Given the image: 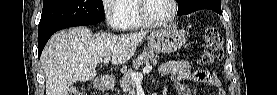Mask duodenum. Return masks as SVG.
<instances>
[{
    "mask_svg": "<svg viewBox=\"0 0 277 95\" xmlns=\"http://www.w3.org/2000/svg\"><path fill=\"white\" fill-rule=\"evenodd\" d=\"M107 85H108V82H107L105 79H103V78H98V79H97V86H98L99 88L104 89V88L107 87Z\"/></svg>",
    "mask_w": 277,
    "mask_h": 95,
    "instance_id": "410a0bca",
    "label": "duodenum"
}]
</instances>
